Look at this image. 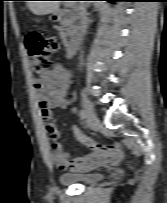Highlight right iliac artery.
<instances>
[{
  "instance_id": "82829eb1",
  "label": "right iliac artery",
  "mask_w": 167,
  "mask_h": 203,
  "mask_svg": "<svg viewBox=\"0 0 167 203\" xmlns=\"http://www.w3.org/2000/svg\"><path fill=\"white\" fill-rule=\"evenodd\" d=\"M79 117L82 121H85V119L87 118L86 117V113L84 110H81L80 113H79Z\"/></svg>"
}]
</instances>
